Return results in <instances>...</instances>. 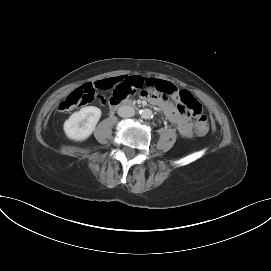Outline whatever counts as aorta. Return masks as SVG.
<instances>
[{"mask_svg":"<svg viewBox=\"0 0 271 271\" xmlns=\"http://www.w3.org/2000/svg\"><path fill=\"white\" fill-rule=\"evenodd\" d=\"M140 114H141L142 118H144V119H149V118H152V116H153L152 110H150V109L141 110Z\"/></svg>","mask_w":271,"mask_h":271,"instance_id":"aorta-1","label":"aorta"}]
</instances>
